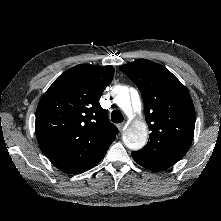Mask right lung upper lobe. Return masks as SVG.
I'll return each instance as SVG.
<instances>
[{"label":"right lung upper lobe","mask_w":221,"mask_h":221,"mask_svg":"<svg viewBox=\"0 0 221 221\" xmlns=\"http://www.w3.org/2000/svg\"><path fill=\"white\" fill-rule=\"evenodd\" d=\"M113 74L112 66L77 65L61 74L39 101L38 144L61 171L89 170L115 140L118 129L98 102Z\"/></svg>","instance_id":"right-lung-upper-lobe-1"}]
</instances>
